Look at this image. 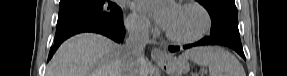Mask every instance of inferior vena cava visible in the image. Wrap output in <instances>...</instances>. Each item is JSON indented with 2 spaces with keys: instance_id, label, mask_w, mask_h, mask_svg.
Here are the masks:
<instances>
[{
  "instance_id": "1",
  "label": "inferior vena cava",
  "mask_w": 287,
  "mask_h": 76,
  "mask_svg": "<svg viewBox=\"0 0 287 76\" xmlns=\"http://www.w3.org/2000/svg\"><path fill=\"white\" fill-rule=\"evenodd\" d=\"M127 39L123 46L122 76H139L140 68L145 64L144 48L149 42V25L139 20L126 24Z\"/></svg>"
}]
</instances>
